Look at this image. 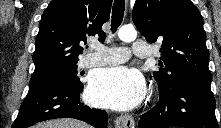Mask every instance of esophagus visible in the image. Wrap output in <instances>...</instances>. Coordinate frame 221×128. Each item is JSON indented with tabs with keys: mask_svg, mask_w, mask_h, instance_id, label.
<instances>
[{
	"mask_svg": "<svg viewBox=\"0 0 221 128\" xmlns=\"http://www.w3.org/2000/svg\"><path fill=\"white\" fill-rule=\"evenodd\" d=\"M115 125L117 128H134L135 121L132 116L128 114H122L116 118Z\"/></svg>",
	"mask_w": 221,
	"mask_h": 128,
	"instance_id": "esophagus-1",
	"label": "esophagus"
}]
</instances>
